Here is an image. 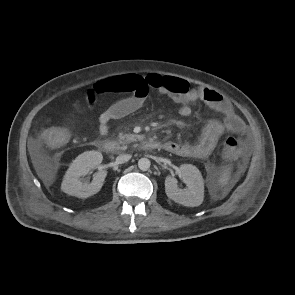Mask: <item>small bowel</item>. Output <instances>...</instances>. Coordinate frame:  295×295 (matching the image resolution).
<instances>
[{
  "mask_svg": "<svg viewBox=\"0 0 295 295\" xmlns=\"http://www.w3.org/2000/svg\"><path fill=\"white\" fill-rule=\"evenodd\" d=\"M150 89L169 96L179 105V114L188 117L192 113V104L201 101L222 115V120L210 121L194 143L167 141L162 148L173 154L197 159L207 158L216 147L224 133L240 135L245 131L244 121L236 114L232 105L219 93L202 87L191 88L183 79L150 74L146 76L122 75L99 80L92 85L96 95L107 93H130L103 111L98 117V131L106 136L109 123L137 111L144 103Z\"/></svg>",
  "mask_w": 295,
  "mask_h": 295,
  "instance_id": "small-bowel-1",
  "label": "small bowel"
}]
</instances>
